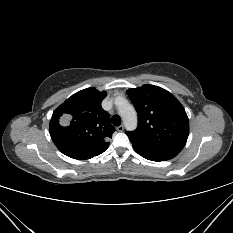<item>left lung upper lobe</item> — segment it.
I'll list each match as a JSON object with an SVG mask.
<instances>
[{"instance_id": "5c2ea615", "label": "left lung upper lobe", "mask_w": 233, "mask_h": 233, "mask_svg": "<svg viewBox=\"0 0 233 233\" xmlns=\"http://www.w3.org/2000/svg\"><path fill=\"white\" fill-rule=\"evenodd\" d=\"M127 93L138 113L137 129L126 132L133 148L164 159L175 157L189 134L188 117L180 102L154 85L131 88Z\"/></svg>"}]
</instances>
